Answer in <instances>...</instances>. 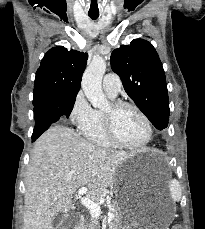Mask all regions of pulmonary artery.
<instances>
[{
    "instance_id": "e3ab8cb5",
    "label": "pulmonary artery",
    "mask_w": 205,
    "mask_h": 229,
    "mask_svg": "<svg viewBox=\"0 0 205 229\" xmlns=\"http://www.w3.org/2000/svg\"><path fill=\"white\" fill-rule=\"evenodd\" d=\"M103 89L111 97H116L121 90V81L114 73L106 74L103 78Z\"/></svg>"
}]
</instances>
